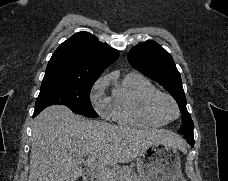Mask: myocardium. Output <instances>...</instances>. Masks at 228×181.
<instances>
[{
  "mask_svg": "<svg viewBox=\"0 0 228 181\" xmlns=\"http://www.w3.org/2000/svg\"><path fill=\"white\" fill-rule=\"evenodd\" d=\"M159 98H164V99L168 100L169 103L171 104L172 111L175 114H177V106H176L174 100L170 96H168L167 94L155 91V92L147 95L144 99V102H143V109H144L147 116H149L153 119L161 120V121L169 119L167 117L160 115L156 109V101Z\"/></svg>",
  "mask_w": 228,
  "mask_h": 181,
  "instance_id": "1",
  "label": "myocardium"
}]
</instances>
